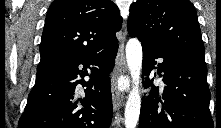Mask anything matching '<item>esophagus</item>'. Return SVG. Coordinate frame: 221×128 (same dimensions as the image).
Returning a JSON list of instances; mask_svg holds the SVG:
<instances>
[{
	"mask_svg": "<svg viewBox=\"0 0 221 128\" xmlns=\"http://www.w3.org/2000/svg\"><path fill=\"white\" fill-rule=\"evenodd\" d=\"M124 39L125 37L123 36V41L119 45L118 54L116 57V69H115L116 76L126 72V60H125V55H124ZM115 80L113 81V85H112V100H113L114 110H118L123 104L124 96L118 90Z\"/></svg>",
	"mask_w": 221,
	"mask_h": 128,
	"instance_id": "esophagus-1",
	"label": "esophagus"
}]
</instances>
